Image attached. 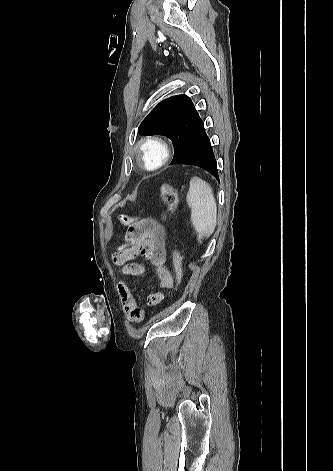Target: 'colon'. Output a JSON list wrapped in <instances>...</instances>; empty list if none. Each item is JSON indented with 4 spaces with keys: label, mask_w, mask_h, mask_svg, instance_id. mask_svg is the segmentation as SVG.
<instances>
[{
    "label": "colon",
    "mask_w": 333,
    "mask_h": 471,
    "mask_svg": "<svg viewBox=\"0 0 333 471\" xmlns=\"http://www.w3.org/2000/svg\"><path fill=\"white\" fill-rule=\"evenodd\" d=\"M159 194L166 204L169 212L171 214H175L179 204L177 190L169 184H162L159 187ZM173 268L175 273L174 289L177 291L183 280L182 252L179 247H175L173 251Z\"/></svg>",
    "instance_id": "1"
}]
</instances>
